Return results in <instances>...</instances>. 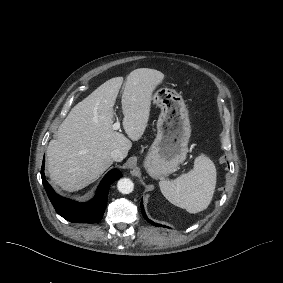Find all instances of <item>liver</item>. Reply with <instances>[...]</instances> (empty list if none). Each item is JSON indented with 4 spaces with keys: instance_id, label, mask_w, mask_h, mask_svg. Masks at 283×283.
<instances>
[{
    "instance_id": "6515ba94",
    "label": "liver",
    "mask_w": 283,
    "mask_h": 283,
    "mask_svg": "<svg viewBox=\"0 0 283 283\" xmlns=\"http://www.w3.org/2000/svg\"><path fill=\"white\" fill-rule=\"evenodd\" d=\"M162 73L149 68L132 71L121 96L122 125L128 135L112 130L114 105L123 83L114 77L76 104L58 127L46 150L49 177L63 191L83 189L112 165L111 152L124 157L146 127L150 93Z\"/></svg>"
}]
</instances>
